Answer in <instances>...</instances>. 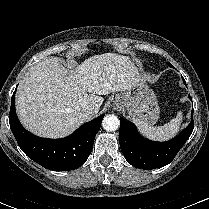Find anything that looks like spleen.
I'll list each match as a JSON object with an SVG mask.
<instances>
[{"mask_svg":"<svg viewBox=\"0 0 209 209\" xmlns=\"http://www.w3.org/2000/svg\"><path fill=\"white\" fill-rule=\"evenodd\" d=\"M183 115L179 111L177 116L163 126H152L145 122L135 120L140 132L149 139L166 141L173 138L179 131Z\"/></svg>","mask_w":209,"mask_h":209,"instance_id":"1","label":"spleen"}]
</instances>
